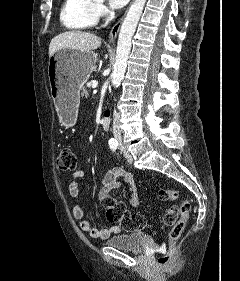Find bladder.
I'll return each instance as SVG.
<instances>
[{
  "label": "bladder",
  "mask_w": 240,
  "mask_h": 281,
  "mask_svg": "<svg viewBox=\"0 0 240 281\" xmlns=\"http://www.w3.org/2000/svg\"><path fill=\"white\" fill-rule=\"evenodd\" d=\"M145 244V235L141 232L122 233L112 236L106 241V245L124 250L139 252Z\"/></svg>",
  "instance_id": "31cf9c89"
}]
</instances>
